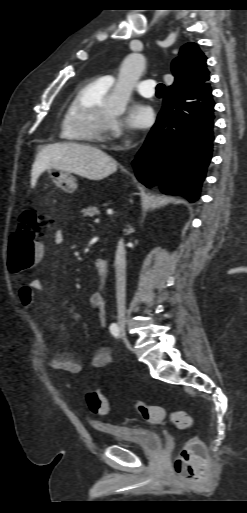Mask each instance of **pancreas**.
Here are the masks:
<instances>
[{
	"label": "pancreas",
	"instance_id": "obj_1",
	"mask_svg": "<svg viewBox=\"0 0 247 513\" xmlns=\"http://www.w3.org/2000/svg\"><path fill=\"white\" fill-rule=\"evenodd\" d=\"M81 213L82 217H93L94 215L99 214V210L94 206H88L87 208H83Z\"/></svg>",
	"mask_w": 247,
	"mask_h": 513
}]
</instances>
